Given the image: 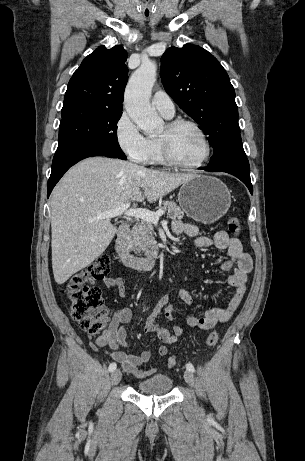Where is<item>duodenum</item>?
<instances>
[{
  "label": "duodenum",
  "instance_id": "1",
  "mask_svg": "<svg viewBox=\"0 0 305 461\" xmlns=\"http://www.w3.org/2000/svg\"><path fill=\"white\" fill-rule=\"evenodd\" d=\"M128 233V224H123L117 232L114 242L117 261L121 265L133 269H153L158 262L159 251L152 250L144 256H134L132 254H129L125 251V244L128 237Z\"/></svg>",
  "mask_w": 305,
  "mask_h": 461
}]
</instances>
